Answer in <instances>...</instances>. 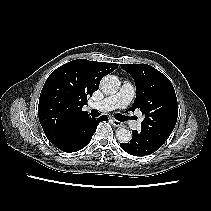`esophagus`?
<instances>
[{
    "label": "esophagus",
    "mask_w": 211,
    "mask_h": 211,
    "mask_svg": "<svg viewBox=\"0 0 211 211\" xmlns=\"http://www.w3.org/2000/svg\"><path fill=\"white\" fill-rule=\"evenodd\" d=\"M112 122H113V125L116 126V127L122 126V123L120 121L116 120V119H113Z\"/></svg>",
    "instance_id": "34e87169"
}]
</instances>
